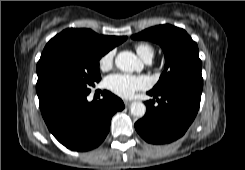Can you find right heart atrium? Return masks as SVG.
<instances>
[{"mask_svg": "<svg viewBox=\"0 0 245 170\" xmlns=\"http://www.w3.org/2000/svg\"><path fill=\"white\" fill-rule=\"evenodd\" d=\"M114 51L105 53L99 60V66L102 70L108 69L113 64Z\"/></svg>", "mask_w": 245, "mask_h": 170, "instance_id": "obj_1", "label": "right heart atrium"}]
</instances>
